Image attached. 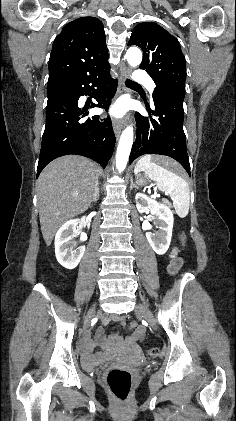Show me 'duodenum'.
Masks as SVG:
<instances>
[{"label": "duodenum", "mask_w": 236, "mask_h": 421, "mask_svg": "<svg viewBox=\"0 0 236 421\" xmlns=\"http://www.w3.org/2000/svg\"><path fill=\"white\" fill-rule=\"evenodd\" d=\"M180 266V263L177 260H174L171 264V271L175 272ZM133 338V337H131ZM116 339V337H112L111 339L105 340L104 342H102V345L104 347L109 346L114 340ZM94 347V343L90 340L87 339L81 349V358L83 363L91 368L94 367L96 365H98L99 363H101L102 361H104L106 359V355L99 353V354H93L92 350Z\"/></svg>", "instance_id": "duodenum-1"}]
</instances>
